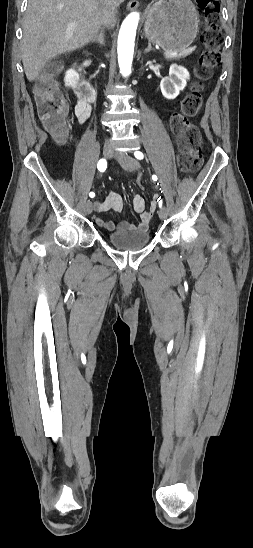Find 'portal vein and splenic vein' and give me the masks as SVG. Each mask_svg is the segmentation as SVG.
Returning a JSON list of instances; mask_svg holds the SVG:
<instances>
[{
    "label": "portal vein and splenic vein",
    "mask_w": 253,
    "mask_h": 548,
    "mask_svg": "<svg viewBox=\"0 0 253 548\" xmlns=\"http://www.w3.org/2000/svg\"><path fill=\"white\" fill-rule=\"evenodd\" d=\"M170 55L174 56V55H176V53H170Z\"/></svg>",
    "instance_id": "1"
}]
</instances>
